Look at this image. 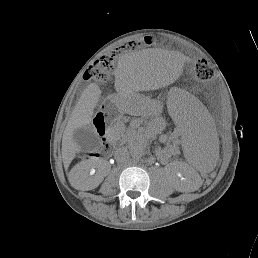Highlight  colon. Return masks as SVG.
I'll return each mask as SVG.
<instances>
[{
  "mask_svg": "<svg viewBox=\"0 0 258 258\" xmlns=\"http://www.w3.org/2000/svg\"><path fill=\"white\" fill-rule=\"evenodd\" d=\"M153 36H145L141 39L130 40L122 46L114 48L111 52L101 55L93 65L88 68L84 76L87 80L104 82L106 81L112 70L116 58L125 51L136 50L140 47L151 46L154 44ZM213 71L210 65L205 61H199L193 67V77L200 82L207 81L212 77Z\"/></svg>",
  "mask_w": 258,
  "mask_h": 258,
  "instance_id": "obj_1",
  "label": "colon"
}]
</instances>
